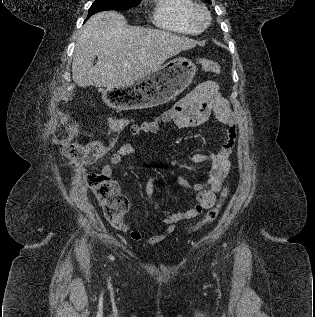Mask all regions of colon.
<instances>
[{
    "instance_id": "1",
    "label": "colon",
    "mask_w": 315,
    "mask_h": 317,
    "mask_svg": "<svg viewBox=\"0 0 315 317\" xmlns=\"http://www.w3.org/2000/svg\"><path fill=\"white\" fill-rule=\"evenodd\" d=\"M200 65L206 72L219 73L220 65L211 59H201ZM130 124L126 118H118L110 124V134H118L122 129ZM107 152V146L102 142L90 144H72L66 149L69 159L78 165H86L95 162ZM90 189L93 191L98 202L100 203L105 218L116 228H123L124 215L129 208V200L123 195L112 175L101 172H92L87 177ZM228 188H225L221 194L220 202L211 208L203 220L195 227L196 229L213 222L220 211L223 200L228 195Z\"/></svg>"
}]
</instances>
